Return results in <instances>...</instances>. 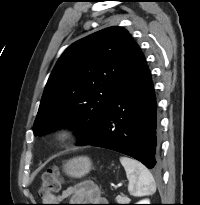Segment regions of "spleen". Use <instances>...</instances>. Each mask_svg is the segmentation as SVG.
Returning <instances> with one entry per match:
<instances>
[{"instance_id": "spleen-1", "label": "spleen", "mask_w": 200, "mask_h": 205, "mask_svg": "<svg viewBox=\"0 0 200 205\" xmlns=\"http://www.w3.org/2000/svg\"><path fill=\"white\" fill-rule=\"evenodd\" d=\"M127 178L128 191L133 196H146L155 193L156 184L151 172L141 162L129 157H120Z\"/></svg>"}]
</instances>
